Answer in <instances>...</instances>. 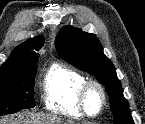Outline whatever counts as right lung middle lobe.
Masks as SVG:
<instances>
[{
    "label": "right lung middle lobe",
    "mask_w": 145,
    "mask_h": 124,
    "mask_svg": "<svg viewBox=\"0 0 145 124\" xmlns=\"http://www.w3.org/2000/svg\"><path fill=\"white\" fill-rule=\"evenodd\" d=\"M36 63L22 71L0 74V116L35 106Z\"/></svg>",
    "instance_id": "1"
}]
</instances>
